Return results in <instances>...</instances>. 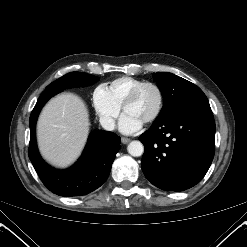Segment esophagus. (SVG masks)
Masks as SVG:
<instances>
[{
  "label": "esophagus",
  "instance_id": "1",
  "mask_svg": "<svg viewBox=\"0 0 247 247\" xmlns=\"http://www.w3.org/2000/svg\"><path fill=\"white\" fill-rule=\"evenodd\" d=\"M121 142H122L123 144H127V143L130 142V139H129V138H126V137H122V138H121Z\"/></svg>",
  "mask_w": 247,
  "mask_h": 247
}]
</instances>
